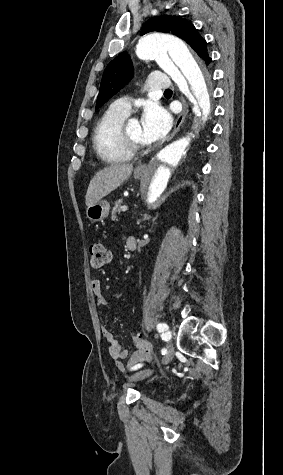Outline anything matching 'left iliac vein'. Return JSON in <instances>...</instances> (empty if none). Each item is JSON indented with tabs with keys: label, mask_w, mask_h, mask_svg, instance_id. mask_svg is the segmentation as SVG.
I'll return each instance as SVG.
<instances>
[{
	"label": "left iliac vein",
	"mask_w": 283,
	"mask_h": 475,
	"mask_svg": "<svg viewBox=\"0 0 283 475\" xmlns=\"http://www.w3.org/2000/svg\"><path fill=\"white\" fill-rule=\"evenodd\" d=\"M171 330L167 329V331L163 334L164 337L167 338V340L171 337ZM166 348H167V354L162 358V363L163 364H166L168 363L169 361H171L172 357H173V353H174V350H173V347L169 344L166 345ZM151 374V371L146 369V370H142V371H139L135 374H133L132 376L129 377V381H139V380H144L145 378H147L148 376H150Z\"/></svg>",
	"instance_id": "4c4485c4"
}]
</instances>
